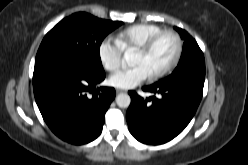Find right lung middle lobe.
<instances>
[{"mask_svg":"<svg viewBox=\"0 0 248 165\" xmlns=\"http://www.w3.org/2000/svg\"><path fill=\"white\" fill-rule=\"evenodd\" d=\"M120 21H108L79 12L64 18L44 37L35 59V66L56 58H74L90 72L99 75L104 70L100 59V45Z\"/></svg>","mask_w":248,"mask_h":165,"instance_id":"dd1d6c3e","label":"right lung middle lobe"}]
</instances>
